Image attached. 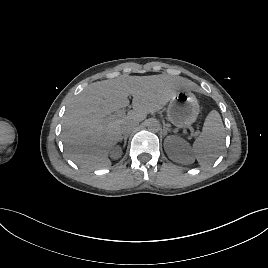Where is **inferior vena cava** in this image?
<instances>
[{"label":"inferior vena cava","mask_w":268,"mask_h":268,"mask_svg":"<svg viewBox=\"0 0 268 268\" xmlns=\"http://www.w3.org/2000/svg\"><path fill=\"white\" fill-rule=\"evenodd\" d=\"M137 125L133 122H125L121 126V132L123 135H128L136 129Z\"/></svg>","instance_id":"obj_1"}]
</instances>
